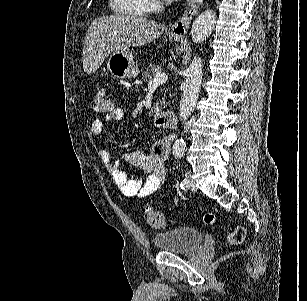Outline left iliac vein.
I'll return each mask as SVG.
<instances>
[{
	"label": "left iliac vein",
	"instance_id": "1",
	"mask_svg": "<svg viewBox=\"0 0 307 301\" xmlns=\"http://www.w3.org/2000/svg\"><path fill=\"white\" fill-rule=\"evenodd\" d=\"M186 179L188 180V184H187L186 188L193 191V192H196V188H195V186L192 182L191 172L186 173Z\"/></svg>",
	"mask_w": 307,
	"mask_h": 301
}]
</instances>
